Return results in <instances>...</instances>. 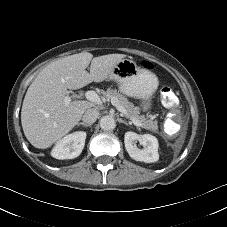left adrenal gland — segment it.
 I'll use <instances>...</instances> for the list:
<instances>
[{
    "label": "left adrenal gland",
    "instance_id": "obj_1",
    "mask_svg": "<svg viewBox=\"0 0 227 227\" xmlns=\"http://www.w3.org/2000/svg\"><path fill=\"white\" fill-rule=\"evenodd\" d=\"M118 121L121 122V123H124V124H126V125L130 124V123H128L127 121H124V120L121 119V118H119Z\"/></svg>",
    "mask_w": 227,
    "mask_h": 227
}]
</instances>
